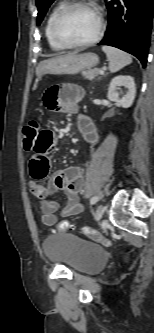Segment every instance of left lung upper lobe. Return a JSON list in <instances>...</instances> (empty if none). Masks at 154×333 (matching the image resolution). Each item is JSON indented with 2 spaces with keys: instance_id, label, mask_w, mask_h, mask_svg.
<instances>
[{
  "instance_id": "1",
  "label": "left lung upper lobe",
  "mask_w": 154,
  "mask_h": 333,
  "mask_svg": "<svg viewBox=\"0 0 154 333\" xmlns=\"http://www.w3.org/2000/svg\"><path fill=\"white\" fill-rule=\"evenodd\" d=\"M54 2V0H36V5L38 8L37 25H40L43 20L49 6Z\"/></svg>"
}]
</instances>
